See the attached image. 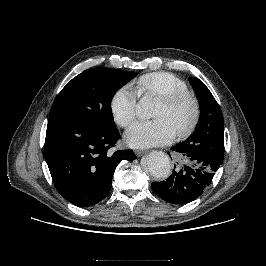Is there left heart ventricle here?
I'll return each mask as SVG.
<instances>
[{
  "mask_svg": "<svg viewBox=\"0 0 266 266\" xmlns=\"http://www.w3.org/2000/svg\"><path fill=\"white\" fill-rule=\"evenodd\" d=\"M192 115V106L189 103H183L177 107L170 108L159 101L154 110L155 118H165L175 131L185 127L190 121Z\"/></svg>",
  "mask_w": 266,
  "mask_h": 266,
  "instance_id": "obj_1",
  "label": "left heart ventricle"
}]
</instances>
